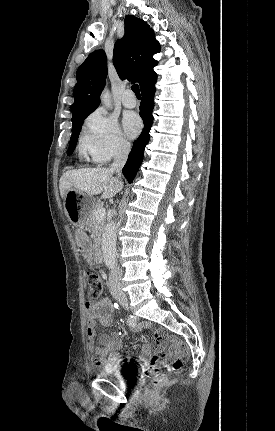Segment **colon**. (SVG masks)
<instances>
[{"label":"colon","mask_w":275,"mask_h":431,"mask_svg":"<svg viewBox=\"0 0 275 431\" xmlns=\"http://www.w3.org/2000/svg\"><path fill=\"white\" fill-rule=\"evenodd\" d=\"M86 281L88 285V295L91 300L98 299L104 289V280L94 271H88L86 273ZM170 344H176L179 348L180 357L171 363V368L173 370H178L183 363V360L188 356L189 348L187 344L179 342L176 339L168 338ZM145 374L147 377L152 379L151 388L153 390L160 389L166 382V378L160 372V364L157 362H152L146 369Z\"/></svg>","instance_id":"colon-1"}]
</instances>
